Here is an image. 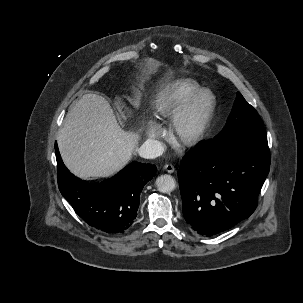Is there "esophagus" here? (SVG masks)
I'll return each instance as SVG.
<instances>
[{
    "mask_svg": "<svg viewBox=\"0 0 303 303\" xmlns=\"http://www.w3.org/2000/svg\"><path fill=\"white\" fill-rule=\"evenodd\" d=\"M164 169L168 172V173H173L175 171V167L172 164H165L164 165Z\"/></svg>",
    "mask_w": 303,
    "mask_h": 303,
    "instance_id": "esophagus-1",
    "label": "esophagus"
}]
</instances>
